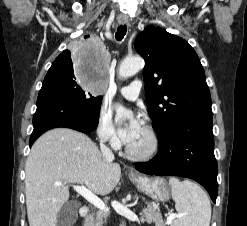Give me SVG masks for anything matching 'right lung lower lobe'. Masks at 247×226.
Returning <instances> with one entry per match:
<instances>
[{"instance_id": "1", "label": "right lung lower lobe", "mask_w": 247, "mask_h": 226, "mask_svg": "<svg viewBox=\"0 0 247 226\" xmlns=\"http://www.w3.org/2000/svg\"><path fill=\"white\" fill-rule=\"evenodd\" d=\"M98 121L99 111L91 110L57 84L43 83L33 117L30 146L49 129L65 127L89 133L97 128Z\"/></svg>"}]
</instances>
